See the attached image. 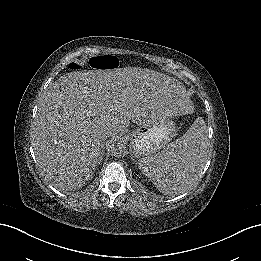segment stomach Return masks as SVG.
<instances>
[{
    "instance_id": "obj_1",
    "label": "stomach",
    "mask_w": 261,
    "mask_h": 261,
    "mask_svg": "<svg viewBox=\"0 0 261 261\" xmlns=\"http://www.w3.org/2000/svg\"><path fill=\"white\" fill-rule=\"evenodd\" d=\"M165 116L163 113L151 115L133 131L131 148L136 157L155 153L170 136Z\"/></svg>"
}]
</instances>
